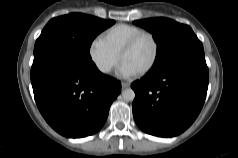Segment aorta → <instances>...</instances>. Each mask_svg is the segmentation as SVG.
Instances as JSON below:
<instances>
[{
	"instance_id": "obj_1",
	"label": "aorta",
	"mask_w": 238,
	"mask_h": 158,
	"mask_svg": "<svg viewBox=\"0 0 238 158\" xmlns=\"http://www.w3.org/2000/svg\"><path fill=\"white\" fill-rule=\"evenodd\" d=\"M122 97L125 101H133L135 92L131 88L125 89L122 91Z\"/></svg>"
}]
</instances>
